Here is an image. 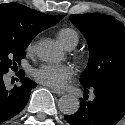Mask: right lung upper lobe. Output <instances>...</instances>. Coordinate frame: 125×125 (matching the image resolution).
<instances>
[{
  "label": "right lung upper lobe",
  "mask_w": 125,
  "mask_h": 125,
  "mask_svg": "<svg viewBox=\"0 0 125 125\" xmlns=\"http://www.w3.org/2000/svg\"><path fill=\"white\" fill-rule=\"evenodd\" d=\"M62 17L46 15L18 3L0 4V35L31 42L39 32L55 25Z\"/></svg>",
  "instance_id": "cb5924a9"
}]
</instances>
